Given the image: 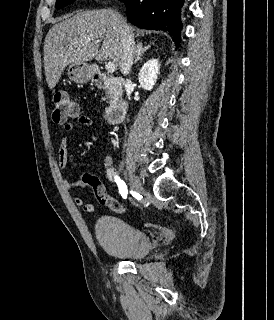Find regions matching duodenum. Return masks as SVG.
Instances as JSON below:
<instances>
[{
    "mask_svg": "<svg viewBox=\"0 0 274 320\" xmlns=\"http://www.w3.org/2000/svg\"><path fill=\"white\" fill-rule=\"evenodd\" d=\"M94 82L100 89L114 86L122 88L125 85V79L120 76L111 77L100 71H95L92 75ZM128 102L122 96H118L111 107L105 113V118L108 123H119L123 120L127 113Z\"/></svg>",
    "mask_w": 274,
    "mask_h": 320,
    "instance_id": "1",
    "label": "duodenum"
}]
</instances>
